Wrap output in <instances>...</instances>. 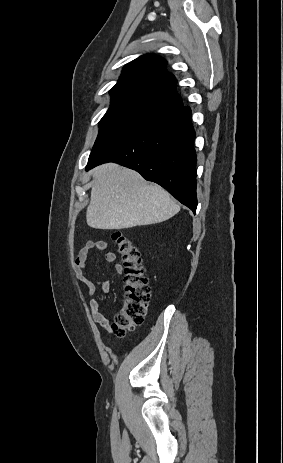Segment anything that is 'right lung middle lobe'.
I'll use <instances>...</instances> for the list:
<instances>
[{
  "label": "right lung middle lobe",
  "mask_w": 283,
  "mask_h": 463,
  "mask_svg": "<svg viewBox=\"0 0 283 463\" xmlns=\"http://www.w3.org/2000/svg\"><path fill=\"white\" fill-rule=\"evenodd\" d=\"M159 115L161 112L155 108L112 95L111 107L100 121L99 134L90 156Z\"/></svg>",
  "instance_id": "1"
}]
</instances>
